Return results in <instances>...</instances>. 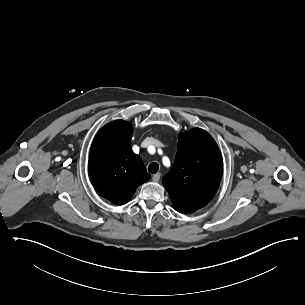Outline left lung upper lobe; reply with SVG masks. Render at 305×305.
Wrapping results in <instances>:
<instances>
[{
  "instance_id": "5c2ea615",
  "label": "left lung upper lobe",
  "mask_w": 305,
  "mask_h": 305,
  "mask_svg": "<svg viewBox=\"0 0 305 305\" xmlns=\"http://www.w3.org/2000/svg\"><path fill=\"white\" fill-rule=\"evenodd\" d=\"M222 170L220 150L206 131L180 134L176 160L163 177L175 210L191 213L204 207L218 190Z\"/></svg>"
}]
</instances>
